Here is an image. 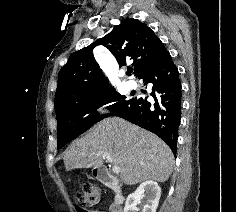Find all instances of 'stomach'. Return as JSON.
<instances>
[{"mask_svg": "<svg viewBox=\"0 0 236 212\" xmlns=\"http://www.w3.org/2000/svg\"><path fill=\"white\" fill-rule=\"evenodd\" d=\"M92 174H93V176L98 177V175H97V170H96L95 168L92 170Z\"/></svg>", "mask_w": 236, "mask_h": 212, "instance_id": "0dacf381", "label": "stomach"}]
</instances>
